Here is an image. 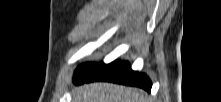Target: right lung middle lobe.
<instances>
[{
	"label": "right lung middle lobe",
	"mask_w": 221,
	"mask_h": 102,
	"mask_svg": "<svg viewBox=\"0 0 221 102\" xmlns=\"http://www.w3.org/2000/svg\"><path fill=\"white\" fill-rule=\"evenodd\" d=\"M86 65H87V64H83V65L79 66L78 69L76 70V72L79 71V70H81L82 68H84Z\"/></svg>",
	"instance_id": "1"
}]
</instances>
